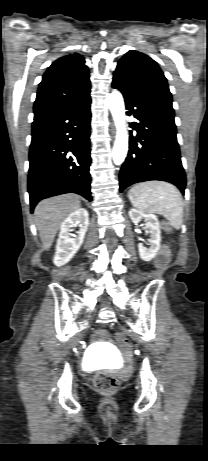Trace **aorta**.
<instances>
[{
  "mask_svg": "<svg viewBox=\"0 0 208 461\" xmlns=\"http://www.w3.org/2000/svg\"><path fill=\"white\" fill-rule=\"evenodd\" d=\"M109 109L111 111L115 127L116 139L113 146V161L115 165H121L128 152V133L125 121V106L121 93L112 91L109 96Z\"/></svg>",
  "mask_w": 208,
  "mask_h": 461,
  "instance_id": "aorta-1",
  "label": "aorta"
}]
</instances>
